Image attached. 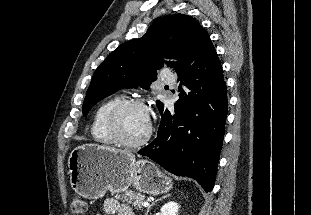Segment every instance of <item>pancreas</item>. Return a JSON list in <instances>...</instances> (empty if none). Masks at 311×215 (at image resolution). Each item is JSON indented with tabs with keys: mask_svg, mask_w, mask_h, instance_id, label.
I'll use <instances>...</instances> for the list:
<instances>
[{
	"mask_svg": "<svg viewBox=\"0 0 311 215\" xmlns=\"http://www.w3.org/2000/svg\"><path fill=\"white\" fill-rule=\"evenodd\" d=\"M115 198L120 199L124 203L132 204L136 209L141 210V203L145 196L141 193L134 192L133 190H127L122 195H116Z\"/></svg>",
	"mask_w": 311,
	"mask_h": 215,
	"instance_id": "cf45deb5",
	"label": "pancreas"
}]
</instances>
